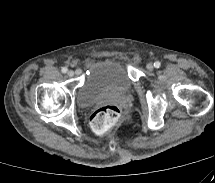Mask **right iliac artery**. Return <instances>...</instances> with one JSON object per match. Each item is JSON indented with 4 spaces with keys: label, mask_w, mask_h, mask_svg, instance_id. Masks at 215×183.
<instances>
[{
    "label": "right iliac artery",
    "mask_w": 215,
    "mask_h": 183,
    "mask_svg": "<svg viewBox=\"0 0 215 183\" xmlns=\"http://www.w3.org/2000/svg\"><path fill=\"white\" fill-rule=\"evenodd\" d=\"M61 71H62V73H66L68 70H67L66 67H63V68L61 69Z\"/></svg>",
    "instance_id": "82829eb1"
}]
</instances>
